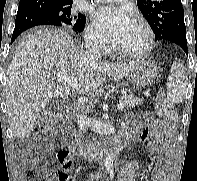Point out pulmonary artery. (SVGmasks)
<instances>
[{
    "instance_id": "e3ab8cb5",
    "label": "pulmonary artery",
    "mask_w": 197,
    "mask_h": 181,
    "mask_svg": "<svg viewBox=\"0 0 197 181\" xmlns=\"http://www.w3.org/2000/svg\"><path fill=\"white\" fill-rule=\"evenodd\" d=\"M97 1H100V2H123L125 0H97Z\"/></svg>"
}]
</instances>
